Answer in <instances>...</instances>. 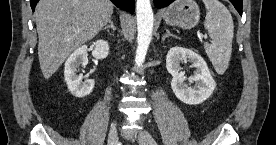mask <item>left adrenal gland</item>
Instances as JSON below:
<instances>
[{"instance_id": "obj_1", "label": "left adrenal gland", "mask_w": 276, "mask_h": 145, "mask_svg": "<svg viewBox=\"0 0 276 145\" xmlns=\"http://www.w3.org/2000/svg\"><path fill=\"white\" fill-rule=\"evenodd\" d=\"M170 36H172V37H174V38H176V39H180L179 37H177V36L171 34L170 31H169L168 29H166V34L163 36L162 41H164L166 38H168V37H170Z\"/></svg>"}]
</instances>
